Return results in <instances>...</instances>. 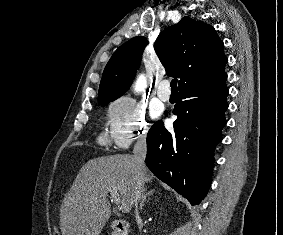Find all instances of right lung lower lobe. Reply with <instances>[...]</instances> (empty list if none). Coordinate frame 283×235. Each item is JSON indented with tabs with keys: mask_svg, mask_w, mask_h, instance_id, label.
Listing matches in <instances>:
<instances>
[{
	"mask_svg": "<svg viewBox=\"0 0 283 235\" xmlns=\"http://www.w3.org/2000/svg\"><path fill=\"white\" fill-rule=\"evenodd\" d=\"M226 79L223 71L180 87L174 132L158 121L147 135L146 165L191 205H198L211 185L214 150L227 123Z\"/></svg>",
	"mask_w": 283,
	"mask_h": 235,
	"instance_id": "1",
	"label": "right lung lower lobe"
}]
</instances>
